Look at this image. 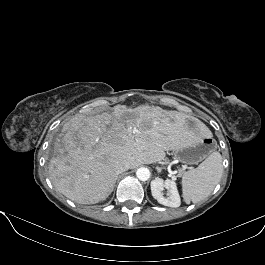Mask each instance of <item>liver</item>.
Wrapping results in <instances>:
<instances>
[{
    "instance_id": "6515ba94",
    "label": "liver",
    "mask_w": 265,
    "mask_h": 265,
    "mask_svg": "<svg viewBox=\"0 0 265 265\" xmlns=\"http://www.w3.org/2000/svg\"><path fill=\"white\" fill-rule=\"evenodd\" d=\"M195 121L190 128L188 121ZM137 132L130 134V129ZM199 120L177 111L117 105L111 113L77 115L64 123L48 171L54 187L79 204H96L113 191L117 167L152 164L208 133Z\"/></svg>"
}]
</instances>
